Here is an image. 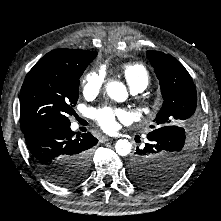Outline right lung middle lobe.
Masks as SVG:
<instances>
[{
  "label": "right lung middle lobe",
  "instance_id": "dd1d6c3e",
  "mask_svg": "<svg viewBox=\"0 0 221 221\" xmlns=\"http://www.w3.org/2000/svg\"><path fill=\"white\" fill-rule=\"evenodd\" d=\"M95 56L80 64L55 66L26 75L20 92L22 131L45 122L69 123L72 107L79 97V78ZM90 154L70 158L61 168H54L50 181L69 186L82 181L88 172Z\"/></svg>",
  "mask_w": 221,
  "mask_h": 221
}]
</instances>
